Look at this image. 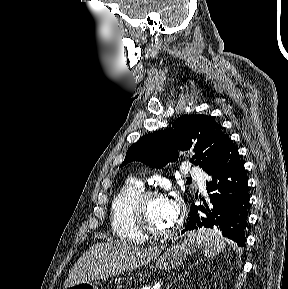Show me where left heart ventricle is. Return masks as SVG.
<instances>
[{"label":"left heart ventricle","instance_id":"obj_1","mask_svg":"<svg viewBox=\"0 0 288 289\" xmlns=\"http://www.w3.org/2000/svg\"><path fill=\"white\" fill-rule=\"evenodd\" d=\"M145 218L149 225L156 230H166L171 226L166 219L164 199L147 202L145 206Z\"/></svg>","mask_w":288,"mask_h":289}]
</instances>
